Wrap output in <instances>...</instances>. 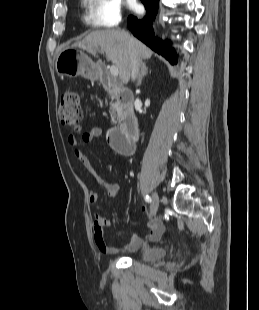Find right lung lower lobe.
I'll use <instances>...</instances> for the list:
<instances>
[{
  "label": "right lung lower lobe",
  "instance_id": "1",
  "mask_svg": "<svg viewBox=\"0 0 259 310\" xmlns=\"http://www.w3.org/2000/svg\"><path fill=\"white\" fill-rule=\"evenodd\" d=\"M146 8V15L142 18L128 17V28L139 40L144 42L152 50L165 57L172 64L177 63V57L171 45L165 41H157L151 27L158 10L159 0H141Z\"/></svg>",
  "mask_w": 259,
  "mask_h": 310
}]
</instances>
